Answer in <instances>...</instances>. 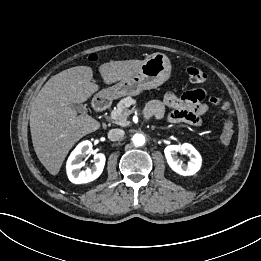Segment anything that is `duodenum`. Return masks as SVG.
<instances>
[{
    "mask_svg": "<svg viewBox=\"0 0 261 261\" xmlns=\"http://www.w3.org/2000/svg\"><path fill=\"white\" fill-rule=\"evenodd\" d=\"M111 101L106 96H98L93 101L94 110L101 112L109 108Z\"/></svg>",
    "mask_w": 261,
    "mask_h": 261,
    "instance_id": "duodenum-1",
    "label": "duodenum"
}]
</instances>
